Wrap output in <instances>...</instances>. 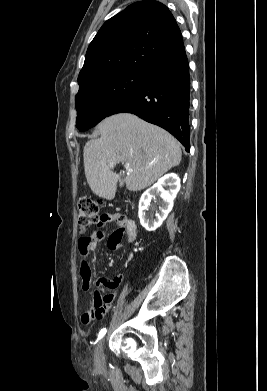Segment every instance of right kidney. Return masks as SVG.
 <instances>
[{
	"instance_id": "1",
	"label": "right kidney",
	"mask_w": 267,
	"mask_h": 391,
	"mask_svg": "<svg viewBox=\"0 0 267 391\" xmlns=\"http://www.w3.org/2000/svg\"><path fill=\"white\" fill-rule=\"evenodd\" d=\"M164 187H168L167 190ZM180 190V178L175 173L166 174L158 180L151 188L146 190L139 201V219L141 225L147 231H155L160 227L163 221L167 218L169 212L172 210L173 201ZM160 196L162 199L161 206L159 207L160 212L156 213V219L150 218L146 213L148 206L150 205L151 199L155 196Z\"/></svg>"
}]
</instances>
